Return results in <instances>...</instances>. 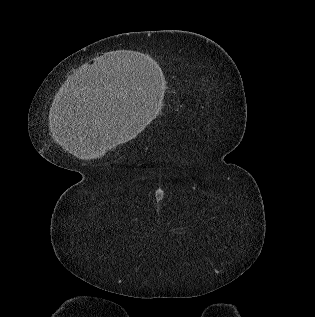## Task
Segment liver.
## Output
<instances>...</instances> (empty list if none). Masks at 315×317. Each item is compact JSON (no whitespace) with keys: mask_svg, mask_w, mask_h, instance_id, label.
Returning a JSON list of instances; mask_svg holds the SVG:
<instances>
[{"mask_svg":"<svg viewBox=\"0 0 315 317\" xmlns=\"http://www.w3.org/2000/svg\"><path fill=\"white\" fill-rule=\"evenodd\" d=\"M90 122H92V120L86 122L74 120L67 121L65 125L68 136L67 138H60L59 143L75 156L80 158H90L101 156L105 153L107 148L127 140L122 136H116V138L110 139L107 134V139H105L103 134L105 132L110 133L106 130V126L98 120L92 124Z\"/></svg>","mask_w":315,"mask_h":317,"instance_id":"6515ba94","label":"liver"}]
</instances>
